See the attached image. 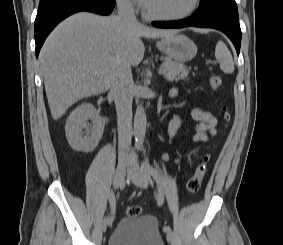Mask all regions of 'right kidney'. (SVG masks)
Here are the masks:
<instances>
[{
  "instance_id": "ca27d5eb",
  "label": "right kidney",
  "mask_w": 283,
  "mask_h": 245,
  "mask_svg": "<svg viewBox=\"0 0 283 245\" xmlns=\"http://www.w3.org/2000/svg\"><path fill=\"white\" fill-rule=\"evenodd\" d=\"M89 120L93 122L92 127H89ZM104 127L105 121L96 108L90 103H83L71 112L66 121V138L73 149L88 153L98 145Z\"/></svg>"
}]
</instances>
